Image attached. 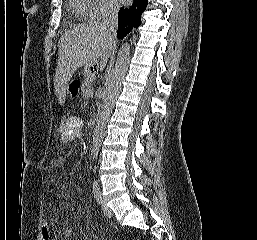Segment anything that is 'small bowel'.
<instances>
[{"label": "small bowel", "instance_id": "1", "mask_svg": "<svg viewBox=\"0 0 257 240\" xmlns=\"http://www.w3.org/2000/svg\"><path fill=\"white\" fill-rule=\"evenodd\" d=\"M74 236V231L71 228L68 219H66L60 230L57 232L53 240H70Z\"/></svg>", "mask_w": 257, "mask_h": 240}]
</instances>
